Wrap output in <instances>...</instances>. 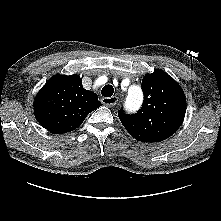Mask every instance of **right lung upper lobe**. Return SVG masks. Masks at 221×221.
Here are the masks:
<instances>
[{
  "label": "right lung upper lobe",
  "mask_w": 221,
  "mask_h": 221,
  "mask_svg": "<svg viewBox=\"0 0 221 221\" xmlns=\"http://www.w3.org/2000/svg\"><path fill=\"white\" fill-rule=\"evenodd\" d=\"M100 106L97 94L84 89L79 76L56 75L38 92L34 115L51 133L63 134L80 126Z\"/></svg>",
  "instance_id": "cb5924a9"
}]
</instances>
